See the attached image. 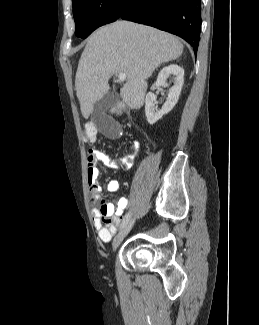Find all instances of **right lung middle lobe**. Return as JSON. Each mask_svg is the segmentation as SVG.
I'll return each instance as SVG.
<instances>
[{"instance_id":"right-lung-middle-lobe-1","label":"right lung middle lobe","mask_w":259,"mask_h":325,"mask_svg":"<svg viewBox=\"0 0 259 325\" xmlns=\"http://www.w3.org/2000/svg\"><path fill=\"white\" fill-rule=\"evenodd\" d=\"M75 34L85 39L98 27L119 17L126 0H72Z\"/></svg>"}]
</instances>
